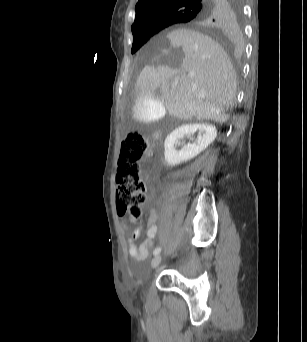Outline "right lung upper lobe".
<instances>
[{"mask_svg": "<svg viewBox=\"0 0 307 342\" xmlns=\"http://www.w3.org/2000/svg\"><path fill=\"white\" fill-rule=\"evenodd\" d=\"M234 4L232 0H139L135 7L132 33L135 35L155 29L162 30L173 25L167 23L170 15L191 9L196 11V15L180 23L189 22L209 36L225 39L231 32V11Z\"/></svg>", "mask_w": 307, "mask_h": 342, "instance_id": "cb5924a9", "label": "right lung upper lobe"}]
</instances>
